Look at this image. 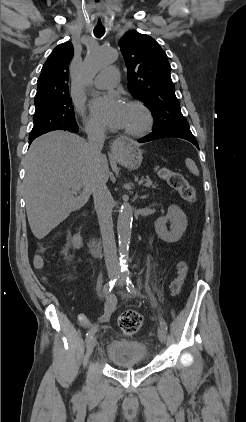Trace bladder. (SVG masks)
<instances>
[{"instance_id": "bladder-1", "label": "bladder", "mask_w": 246, "mask_h": 422, "mask_svg": "<svg viewBox=\"0 0 246 422\" xmlns=\"http://www.w3.org/2000/svg\"><path fill=\"white\" fill-rule=\"evenodd\" d=\"M106 356L116 366L128 368L145 364L148 350L141 341L114 338L106 345Z\"/></svg>"}]
</instances>
